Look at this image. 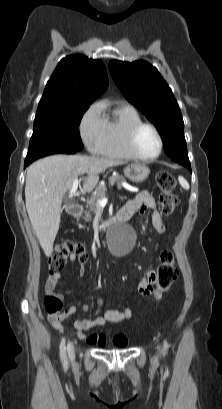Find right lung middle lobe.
Wrapping results in <instances>:
<instances>
[{
  "mask_svg": "<svg viewBox=\"0 0 222 409\" xmlns=\"http://www.w3.org/2000/svg\"><path fill=\"white\" fill-rule=\"evenodd\" d=\"M88 108L87 104H70L37 109L25 163L51 154H73L81 150L79 124Z\"/></svg>",
  "mask_w": 222,
  "mask_h": 409,
  "instance_id": "right-lung-middle-lobe-1",
  "label": "right lung middle lobe"
}]
</instances>
